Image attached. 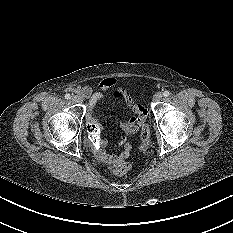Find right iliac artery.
Listing matches in <instances>:
<instances>
[{"label":"right iliac artery","mask_w":233,"mask_h":233,"mask_svg":"<svg viewBox=\"0 0 233 233\" xmlns=\"http://www.w3.org/2000/svg\"><path fill=\"white\" fill-rule=\"evenodd\" d=\"M71 98V95L70 94H66L65 95V99L69 100Z\"/></svg>","instance_id":"82829eb1"}]
</instances>
